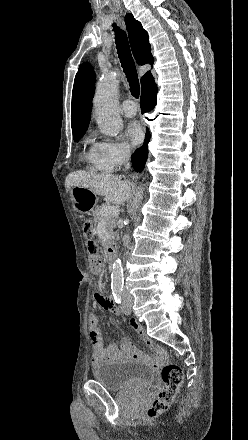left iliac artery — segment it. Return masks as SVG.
<instances>
[{
	"instance_id": "1",
	"label": "left iliac artery",
	"mask_w": 248,
	"mask_h": 440,
	"mask_svg": "<svg viewBox=\"0 0 248 440\" xmlns=\"http://www.w3.org/2000/svg\"><path fill=\"white\" fill-rule=\"evenodd\" d=\"M121 292H122V288L112 289V294H113V297H114L116 303H121Z\"/></svg>"
}]
</instances>
